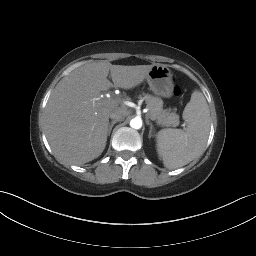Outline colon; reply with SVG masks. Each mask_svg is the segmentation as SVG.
Masks as SVG:
<instances>
[{"mask_svg": "<svg viewBox=\"0 0 256 256\" xmlns=\"http://www.w3.org/2000/svg\"><path fill=\"white\" fill-rule=\"evenodd\" d=\"M174 94H175L176 96H179V95L181 94V88L178 87V86H176L175 89H174Z\"/></svg>", "mask_w": 256, "mask_h": 256, "instance_id": "1", "label": "colon"}]
</instances>
